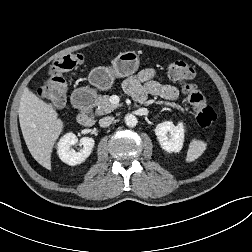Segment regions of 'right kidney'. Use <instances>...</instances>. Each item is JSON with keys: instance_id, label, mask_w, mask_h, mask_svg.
Wrapping results in <instances>:
<instances>
[{"instance_id": "obj_1", "label": "right kidney", "mask_w": 252, "mask_h": 252, "mask_svg": "<svg viewBox=\"0 0 252 252\" xmlns=\"http://www.w3.org/2000/svg\"><path fill=\"white\" fill-rule=\"evenodd\" d=\"M78 143V139L75 134H65L57 144V153L59 158L66 164L76 166L84 162L91 154L95 141L90 137H82L79 144L83 148L76 152L72 146Z\"/></svg>"}]
</instances>
